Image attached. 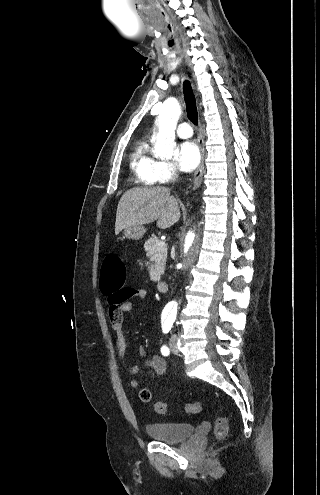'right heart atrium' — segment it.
<instances>
[{
	"label": "right heart atrium",
	"instance_id": "d8ad5b80",
	"mask_svg": "<svg viewBox=\"0 0 320 495\" xmlns=\"http://www.w3.org/2000/svg\"><path fill=\"white\" fill-rule=\"evenodd\" d=\"M177 175L175 164L168 161H159L156 164L154 179L158 183H166L172 180Z\"/></svg>",
	"mask_w": 320,
	"mask_h": 495
}]
</instances>
